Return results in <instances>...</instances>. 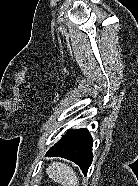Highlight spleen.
<instances>
[{
	"label": "spleen",
	"mask_w": 138,
	"mask_h": 186,
	"mask_svg": "<svg viewBox=\"0 0 138 186\" xmlns=\"http://www.w3.org/2000/svg\"><path fill=\"white\" fill-rule=\"evenodd\" d=\"M47 175L62 186H78V178L74 170L61 162H53L46 169Z\"/></svg>",
	"instance_id": "1"
}]
</instances>
